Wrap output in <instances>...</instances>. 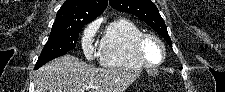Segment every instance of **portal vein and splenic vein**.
Segmentation results:
<instances>
[{"label":"portal vein and splenic vein","mask_w":225,"mask_h":92,"mask_svg":"<svg viewBox=\"0 0 225 92\" xmlns=\"http://www.w3.org/2000/svg\"><path fill=\"white\" fill-rule=\"evenodd\" d=\"M89 88H95V86L92 85V84H90V85H88V86L86 87V89H89Z\"/></svg>","instance_id":"18ae733b"}]
</instances>
